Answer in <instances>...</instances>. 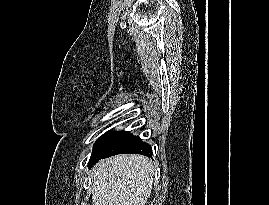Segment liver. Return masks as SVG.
<instances>
[{
	"instance_id": "obj_1",
	"label": "liver",
	"mask_w": 269,
	"mask_h": 205,
	"mask_svg": "<svg viewBox=\"0 0 269 205\" xmlns=\"http://www.w3.org/2000/svg\"><path fill=\"white\" fill-rule=\"evenodd\" d=\"M153 163L137 154L100 161L93 173V205H145L150 197Z\"/></svg>"
}]
</instances>
